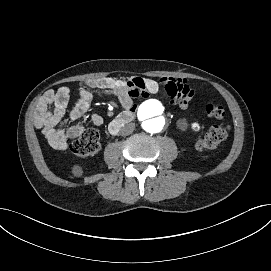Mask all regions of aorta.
Masks as SVG:
<instances>
[{"label":"aorta","instance_id":"1","mask_svg":"<svg viewBox=\"0 0 271 271\" xmlns=\"http://www.w3.org/2000/svg\"><path fill=\"white\" fill-rule=\"evenodd\" d=\"M137 118L146 132L155 134L161 132L165 127L168 114L160 101L149 99L138 107Z\"/></svg>","mask_w":271,"mask_h":271}]
</instances>
